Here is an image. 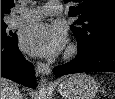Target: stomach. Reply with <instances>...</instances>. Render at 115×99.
<instances>
[{
	"instance_id": "1",
	"label": "stomach",
	"mask_w": 115,
	"mask_h": 99,
	"mask_svg": "<svg viewBox=\"0 0 115 99\" xmlns=\"http://www.w3.org/2000/svg\"><path fill=\"white\" fill-rule=\"evenodd\" d=\"M58 91L65 99H94L97 82L87 74H74L58 85Z\"/></svg>"
}]
</instances>
